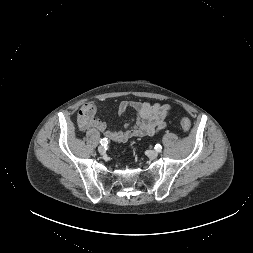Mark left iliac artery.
<instances>
[{"label":"left iliac artery","mask_w":253,"mask_h":253,"mask_svg":"<svg viewBox=\"0 0 253 253\" xmlns=\"http://www.w3.org/2000/svg\"><path fill=\"white\" fill-rule=\"evenodd\" d=\"M155 149H156V151L160 152L161 149H162V146H161L160 144H157V145L155 146Z\"/></svg>","instance_id":"obj_1"}]
</instances>
